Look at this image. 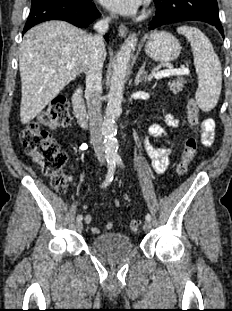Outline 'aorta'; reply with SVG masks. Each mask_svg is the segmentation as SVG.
Returning a JSON list of instances; mask_svg holds the SVG:
<instances>
[{
	"mask_svg": "<svg viewBox=\"0 0 232 311\" xmlns=\"http://www.w3.org/2000/svg\"><path fill=\"white\" fill-rule=\"evenodd\" d=\"M137 43L136 35H130L119 50L112 71L111 85L108 94V104L102 123L104 149L109 159L118 158V141L116 139V120L122 113L123 90L126 82L127 67Z\"/></svg>",
	"mask_w": 232,
	"mask_h": 311,
	"instance_id": "aorta-1",
	"label": "aorta"
}]
</instances>
